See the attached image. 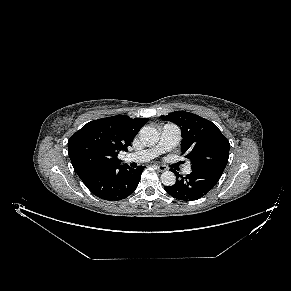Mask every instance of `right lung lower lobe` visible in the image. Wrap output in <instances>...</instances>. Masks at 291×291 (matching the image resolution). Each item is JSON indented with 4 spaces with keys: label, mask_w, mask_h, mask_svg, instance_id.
Here are the masks:
<instances>
[{
    "label": "right lung lower lobe",
    "mask_w": 291,
    "mask_h": 291,
    "mask_svg": "<svg viewBox=\"0 0 291 291\" xmlns=\"http://www.w3.org/2000/svg\"><path fill=\"white\" fill-rule=\"evenodd\" d=\"M144 166L98 164L77 173L86 187L97 197L118 201L132 194L138 186Z\"/></svg>",
    "instance_id": "1"
}]
</instances>
